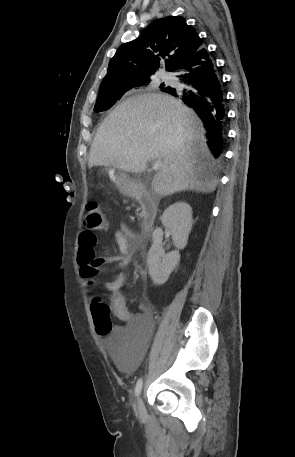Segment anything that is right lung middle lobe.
Segmentation results:
<instances>
[{"label":"right lung middle lobe","instance_id":"obj_1","mask_svg":"<svg viewBox=\"0 0 295 457\" xmlns=\"http://www.w3.org/2000/svg\"><path fill=\"white\" fill-rule=\"evenodd\" d=\"M147 87V86H157L162 91H164L168 86L164 83L162 84H155L153 79L143 81L139 84V86H128L124 88H118L114 90H105L99 91L98 98L94 107L95 112H101L109 109L112 105H114L124 94L128 93L130 90L136 87Z\"/></svg>","mask_w":295,"mask_h":457}]
</instances>
